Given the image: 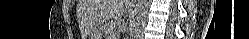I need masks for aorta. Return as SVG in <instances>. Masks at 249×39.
<instances>
[{
	"instance_id": "aorta-1",
	"label": "aorta",
	"mask_w": 249,
	"mask_h": 39,
	"mask_svg": "<svg viewBox=\"0 0 249 39\" xmlns=\"http://www.w3.org/2000/svg\"><path fill=\"white\" fill-rule=\"evenodd\" d=\"M151 0H138L135 25L131 36L133 39H141L147 22L148 10Z\"/></svg>"
}]
</instances>
